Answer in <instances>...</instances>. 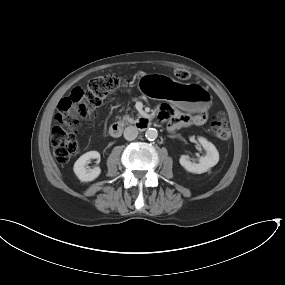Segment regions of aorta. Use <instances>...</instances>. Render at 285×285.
<instances>
[{"instance_id":"1","label":"aorta","mask_w":285,"mask_h":285,"mask_svg":"<svg viewBox=\"0 0 285 285\" xmlns=\"http://www.w3.org/2000/svg\"><path fill=\"white\" fill-rule=\"evenodd\" d=\"M145 137L148 140L153 141L158 137V131L155 128H149L145 132Z\"/></svg>"}]
</instances>
